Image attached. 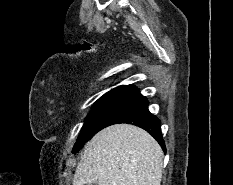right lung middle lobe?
Returning a JSON list of instances; mask_svg holds the SVG:
<instances>
[{
	"label": "right lung middle lobe",
	"instance_id": "1",
	"mask_svg": "<svg viewBox=\"0 0 233 185\" xmlns=\"http://www.w3.org/2000/svg\"><path fill=\"white\" fill-rule=\"evenodd\" d=\"M130 91L127 90H111L104 94L95 102V107L88 114L80 135L73 148L76 153L80 148L98 132L99 124L116 107Z\"/></svg>",
	"mask_w": 233,
	"mask_h": 185
}]
</instances>
